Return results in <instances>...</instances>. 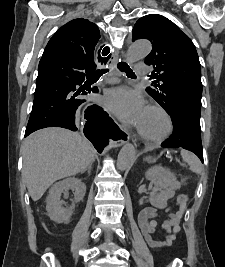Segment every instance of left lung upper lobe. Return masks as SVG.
<instances>
[{
    "label": "left lung upper lobe",
    "instance_id": "1",
    "mask_svg": "<svg viewBox=\"0 0 225 267\" xmlns=\"http://www.w3.org/2000/svg\"><path fill=\"white\" fill-rule=\"evenodd\" d=\"M148 39L153 50L145 58L153 65L152 79L146 88L174 122L189 101L201 104V67L193 42L172 21L157 15L141 17L133 28L132 41Z\"/></svg>",
    "mask_w": 225,
    "mask_h": 267
}]
</instances>
